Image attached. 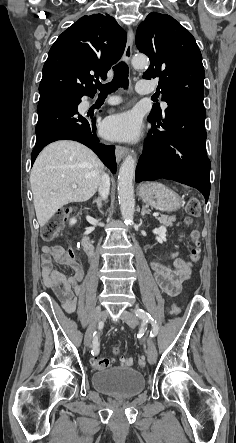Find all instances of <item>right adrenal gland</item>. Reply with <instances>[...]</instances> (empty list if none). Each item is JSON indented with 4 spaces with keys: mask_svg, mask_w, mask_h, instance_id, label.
I'll return each instance as SVG.
<instances>
[{
    "mask_svg": "<svg viewBox=\"0 0 236 443\" xmlns=\"http://www.w3.org/2000/svg\"><path fill=\"white\" fill-rule=\"evenodd\" d=\"M93 203H94V204H97V208H98L99 210H101V208L103 207V203H102V201H101L100 198L95 199V200L93 201Z\"/></svg>",
    "mask_w": 236,
    "mask_h": 443,
    "instance_id": "right-adrenal-gland-1",
    "label": "right adrenal gland"
}]
</instances>
